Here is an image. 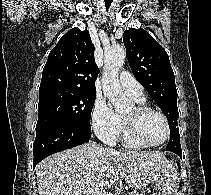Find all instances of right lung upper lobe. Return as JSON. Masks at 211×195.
Segmentation results:
<instances>
[{
  "label": "right lung upper lobe",
  "instance_id": "obj_1",
  "mask_svg": "<svg viewBox=\"0 0 211 195\" xmlns=\"http://www.w3.org/2000/svg\"><path fill=\"white\" fill-rule=\"evenodd\" d=\"M98 67L87 29L73 28L51 50L44 66L39 93L53 89L96 93Z\"/></svg>",
  "mask_w": 211,
  "mask_h": 195
}]
</instances>
